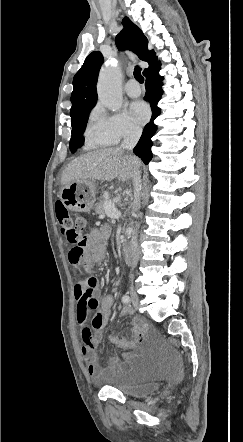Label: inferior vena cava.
Returning <instances> with one entry per match:
<instances>
[{"label": "inferior vena cava", "instance_id": "obj_1", "mask_svg": "<svg viewBox=\"0 0 243 442\" xmlns=\"http://www.w3.org/2000/svg\"><path fill=\"white\" fill-rule=\"evenodd\" d=\"M142 134V129L136 126H131L124 140L122 141L121 148L132 151L135 145L137 144L140 136ZM133 187H134V195L139 198L142 189V181H141V171L139 167L135 168L133 175ZM140 254V248L138 245V234L137 229L133 232L132 240H131V260H132V269L137 264L138 258Z\"/></svg>", "mask_w": 243, "mask_h": 442}]
</instances>
